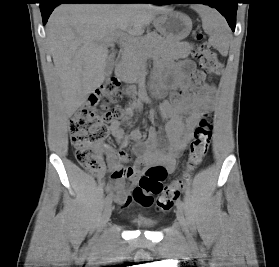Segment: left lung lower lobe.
I'll return each instance as SVG.
<instances>
[{
	"label": "left lung lower lobe",
	"mask_w": 279,
	"mask_h": 267,
	"mask_svg": "<svg viewBox=\"0 0 279 267\" xmlns=\"http://www.w3.org/2000/svg\"><path fill=\"white\" fill-rule=\"evenodd\" d=\"M145 3H152L158 5L171 3L208 4L216 8L221 14H223L232 31H235L238 0H147L145 1Z\"/></svg>",
	"instance_id": "0a47b994"
}]
</instances>
